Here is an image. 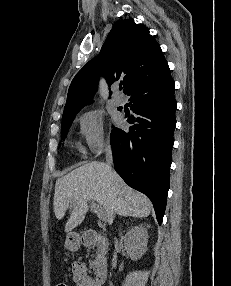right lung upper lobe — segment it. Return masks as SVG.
I'll return each mask as SVG.
<instances>
[{"label": "right lung upper lobe", "instance_id": "1", "mask_svg": "<svg viewBox=\"0 0 231 286\" xmlns=\"http://www.w3.org/2000/svg\"><path fill=\"white\" fill-rule=\"evenodd\" d=\"M169 71L163 52L149 30L133 19L117 21L100 54L74 77L68 90L64 115L79 111L91 102L99 75L111 85L121 80L124 93L135 82L162 76Z\"/></svg>", "mask_w": 231, "mask_h": 286}]
</instances>
